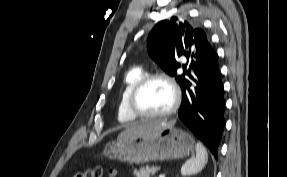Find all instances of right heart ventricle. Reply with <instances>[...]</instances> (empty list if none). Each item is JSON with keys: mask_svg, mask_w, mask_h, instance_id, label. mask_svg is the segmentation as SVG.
Returning a JSON list of instances; mask_svg holds the SVG:
<instances>
[{"mask_svg": "<svg viewBox=\"0 0 287 177\" xmlns=\"http://www.w3.org/2000/svg\"><path fill=\"white\" fill-rule=\"evenodd\" d=\"M144 76L141 68H133L129 70L121 83L119 102H118V119L123 123H131L137 120L129 109L128 99L135 84Z\"/></svg>", "mask_w": 287, "mask_h": 177, "instance_id": "e07e8e85", "label": "right heart ventricle"}]
</instances>
